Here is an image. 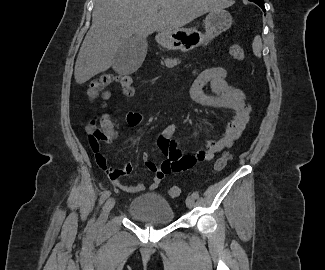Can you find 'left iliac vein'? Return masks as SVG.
Here are the masks:
<instances>
[{"instance_id": "left-iliac-vein-1", "label": "left iliac vein", "mask_w": 325, "mask_h": 270, "mask_svg": "<svg viewBox=\"0 0 325 270\" xmlns=\"http://www.w3.org/2000/svg\"><path fill=\"white\" fill-rule=\"evenodd\" d=\"M195 204V199L192 196H188L186 199V205L188 208H193Z\"/></svg>"}]
</instances>
